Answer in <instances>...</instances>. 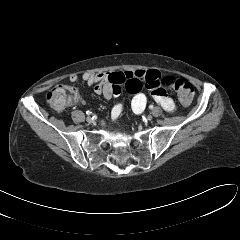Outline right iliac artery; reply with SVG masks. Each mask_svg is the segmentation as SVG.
Here are the masks:
<instances>
[{
  "label": "right iliac artery",
  "mask_w": 240,
  "mask_h": 240,
  "mask_svg": "<svg viewBox=\"0 0 240 240\" xmlns=\"http://www.w3.org/2000/svg\"><path fill=\"white\" fill-rule=\"evenodd\" d=\"M91 113H92V112H91V111H89V110H88V111H86V114H87V115H90Z\"/></svg>",
  "instance_id": "right-iliac-artery-1"
}]
</instances>
